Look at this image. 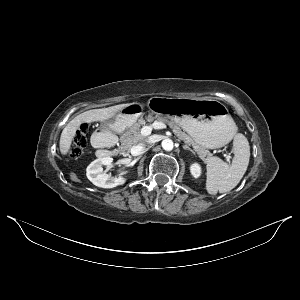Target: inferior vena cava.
<instances>
[{
    "instance_id": "602c4592",
    "label": "inferior vena cava",
    "mask_w": 300,
    "mask_h": 300,
    "mask_svg": "<svg viewBox=\"0 0 300 300\" xmlns=\"http://www.w3.org/2000/svg\"><path fill=\"white\" fill-rule=\"evenodd\" d=\"M149 146H150V143L148 141L139 143L131 148V154L133 156L141 155L147 151Z\"/></svg>"
}]
</instances>
